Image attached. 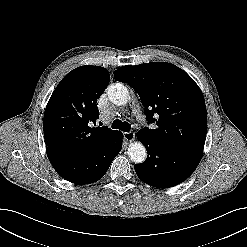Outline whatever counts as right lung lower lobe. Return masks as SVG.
Masks as SVG:
<instances>
[{"label":"right lung lower lobe","instance_id":"98d812e1","mask_svg":"<svg viewBox=\"0 0 247 247\" xmlns=\"http://www.w3.org/2000/svg\"><path fill=\"white\" fill-rule=\"evenodd\" d=\"M123 135L117 131L111 138L85 155H72L47 148L48 158L57 173L75 184H90L101 179L121 150Z\"/></svg>","mask_w":247,"mask_h":247}]
</instances>
